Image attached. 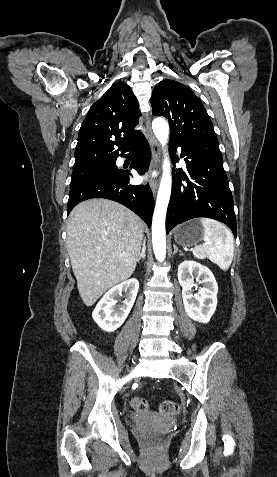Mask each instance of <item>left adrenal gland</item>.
<instances>
[{"mask_svg": "<svg viewBox=\"0 0 277 477\" xmlns=\"http://www.w3.org/2000/svg\"><path fill=\"white\" fill-rule=\"evenodd\" d=\"M173 247H174V252H173V254L179 252V254H180L181 256L184 255L182 251L178 250V248H177V246H176L175 244L173 245Z\"/></svg>", "mask_w": 277, "mask_h": 477, "instance_id": "a2214340", "label": "left adrenal gland"}]
</instances>
